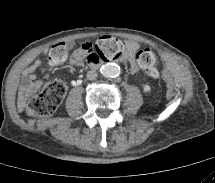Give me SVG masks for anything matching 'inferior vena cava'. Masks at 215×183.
<instances>
[{
    "label": "inferior vena cava",
    "mask_w": 215,
    "mask_h": 183,
    "mask_svg": "<svg viewBox=\"0 0 215 183\" xmlns=\"http://www.w3.org/2000/svg\"><path fill=\"white\" fill-rule=\"evenodd\" d=\"M97 76H98V74H97V72L94 71V70H91V71H88V72H87V78H88L89 80H95V79L97 78Z\"/></svg>",
    "instance_id": "obj_1"
}]
</instances>
